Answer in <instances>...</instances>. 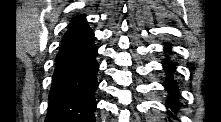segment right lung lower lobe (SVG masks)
<instances>
[{
	"instance_id": "obj_1",
	"label": "right lung lower lobe",
	"mask_w": 221,
	"mask_h": 122,
	"mask_svg": "<svg viewBox=\"0 0 221 122\" xmlns=\"http://www.w3.org/2000/svg\"><path fill=\"white\" fill-rule=\"evenodd\" d=\"M87 22L68 29L56 57L45 122H95L97 48Z\"/></svg>"
}]
</instances>
